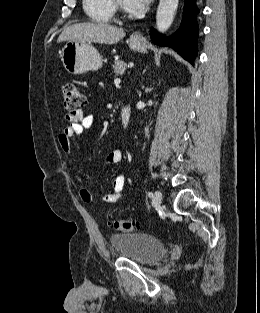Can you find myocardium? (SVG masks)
Masks as SVG:
<instances>
[{"label": "myocardium", "instance_id": "myocardium-1", "mask_svg": "<svg viewBox=\"0 0 260 313\" xmlns=\"http://www.w3.org/2000/svg\"><path fill=\"white\" fill-rule=\"evenodd\" d=\"M111 3H112V6H113L114 10H116V11L122 13V14H125L126 10L121 5L119 0H111Z\"/></svg>", "mask_w": 260, "mask_h": 313}]
</instances>
